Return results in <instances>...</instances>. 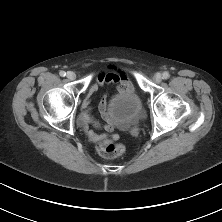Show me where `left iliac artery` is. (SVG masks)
<instances>
[{"instance_id": "44dca946", "label": "left iliac artery", "mask_w": 222, "mask_h": 222, "mask_svg": "<svg viewBox=\"0 0 222 222\" xmlns=\"http://www.w3.org/2000/svg\"><path fill=\"white\" fill-rule=\"evenodd\" d=\"M162 76H163V79H168L170 75H169L168 72H164V73L162 74Z\"/></svg>"}]
</instances>
